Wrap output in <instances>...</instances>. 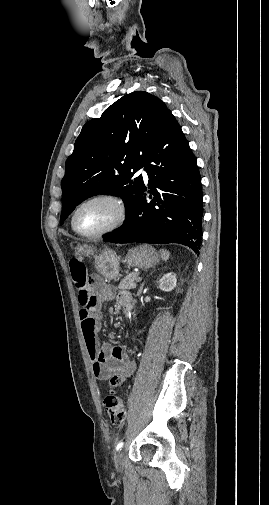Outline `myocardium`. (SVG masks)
I'll return each mask as SVG.
<instances>
[{
	"instance_id": "1",
	"label": "myocardium",
	"mask_w": 269,
	"mask_h": 505,
	"mask_svg": "<svg viewBox=\"0 0 269 505\" xmlns=\"http://www.w3.org/2000/svg\"><path fill=\"white\" fill-rule=\"evenodd\" d=\"M97 200H106V201L113 203L116 206L117 216H116L115 220L110 225L105 227L104 229L94 232V233H85V232L80 231L76 226V217H77L79 210L83 206H85L86 204L93 202V201H97ZM127 215H128L127 205H126L125 201L120 196L113 194V193H98V194H95V195H92V196L86 198L75 208V210L72 214V217H71V227L75 233H77L78 235H80L82 237L97 238V237H101L107 233H110V232L118 229L120 226H122L127 219Z\"/></svg>"
}]
</instances>
